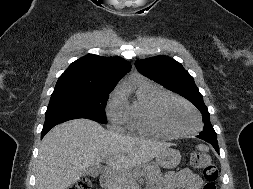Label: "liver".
Returning <instances> with one entry per match:
<instances>
[{
  "mask_svg": "<svg viewBox=\"0 0 253 189\" xmlns=\"http://www.w3.org/2000/svg\"><path fill=\"white\" fill-rule=\"evenodd\" d=\"M169 146L105 130L89 119L70 120L54 127L41 142L36 189H67L78 182L87 169H96L101 162L124 175L123 189H130L134 176L145 174L140 171L141 165Z\"/></svg>",
  "mask_w": 253,
  "mask_h": 189,
  "instance_id": "1",
  "label": "liver"
}]
</instances>
